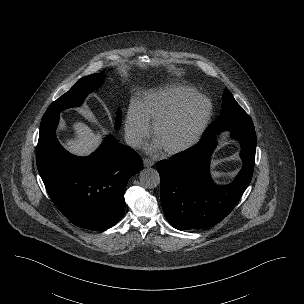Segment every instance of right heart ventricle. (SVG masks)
Returning a JSON list of instances; mask_svg holds the SVG:
<instances>
[{
    "label": "right heart ventricle",
    "mask_w": 304,
    "mask_h": 304,
    "mask_svg": "<svg viewBox=\"0 0 304 304\" xmlns=\"http://www.w3.org/2000/svg\"><path fill=\"white\" fill-rule=\"evenodd\" d=\"M197 91L186 85H170L149 93L137 107L148 123H154L158 118L168 113Z\"/></svg>",
    "instance_id": "e07e8e85"
}]
</instances>
